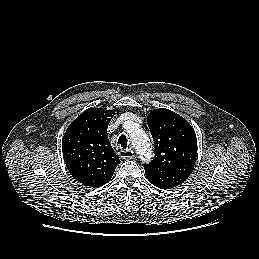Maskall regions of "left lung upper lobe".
I'll return each instance as SVG.
<instances>
[{
	"mask_svg": "<svg viewBox=\"0 0 259 259\" xmlns=\"http://www.w3.org/2000/svg\"><path fill=\"white\" fill-rule=\"evenodd\" d=\"M155 158L145 165L151 172H171L187 179L197 157V138L191 125L175 112L159 108L147 116Z\"/></svg>",
	"mask_w": 259,
	"mask_h": 259,
	"instance_id": "5c2ea615",
	"label": "left lung upper lobe"
}]
</instances>
